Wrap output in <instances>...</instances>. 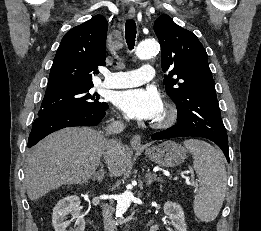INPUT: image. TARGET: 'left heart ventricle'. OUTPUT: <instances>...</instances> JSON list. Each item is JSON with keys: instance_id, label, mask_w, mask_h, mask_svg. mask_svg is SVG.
Instances as JSON below:
<instances>
[{"instance_id": "left-heart-ventricle-1", "label": "left heart ventricle", "mask_w": 261, "mask_h": 231, "mask_svg": "<svg viewBox=\"0 0 261 231\" xmlns=\"http://www.w3.org/2000/svg\"><path fill=\"white\" fill-rule=\"evenodd\" d=\"M161 115H162V112L160 113V115H159L157 118H159ZM157 118H156V119H157Z\"/></svg>"}]
</instances>
